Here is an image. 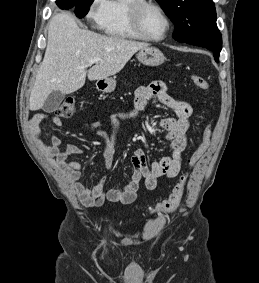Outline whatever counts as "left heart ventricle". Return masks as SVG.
<instances>
[{
    "mask_svg": "<svg viewBox=\"0 0 259 283\" xmlns=\"http://www.w3.org/2000/svg\"><path fill=\"white\" fill-rule=\"evenodd\" d=\"M143 27L149 36L160 38L165 34L167 24L159 11L149 8L143 14Z\"/></svg>",
    "mask_w": 259,
    "mask_h": 283,
    "instance_id": "left-heart-ventricle-1",
    "label": "left heart ventricle"
}]
</instances>
